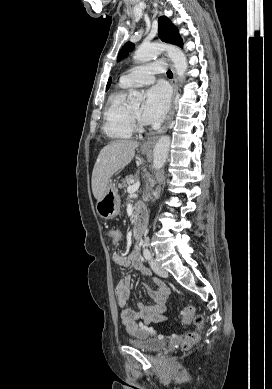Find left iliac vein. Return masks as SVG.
<instances>
[{
    "mask_svg": "<svg viewBox=\"0 0 272 389\" xmlns=\"http://www.w3.org/2000/svg\"><path fill=\"white\" fill-rule=\"evenodd\" d=\"M150 266H151L152 270L156 274H158L159 276H161V277H167L168 276L167 271L163 267H161L156 260L151 259Z\"/></svg>",
    "mask_w": 272,
    "mask_h": 389,
    "instance_id": "left-iliac-vein-1",
    "label": "left iliac vein"
}]
</instances>
